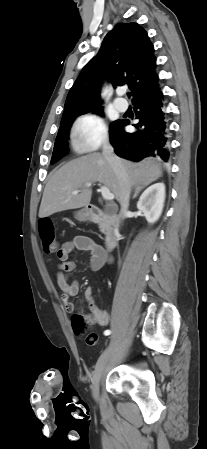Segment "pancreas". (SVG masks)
<instances>
[{"instance_id":"obj_1","label":"pancreas","mask_w":207,"mask_h":449,"mask_svg":"<svg viewBox=\"0 0 207 449\" xmlns=\"http://www.w3.org/2000/svg\"><path fill=\"white\" fill-rule=\"evenodd\" d=\"M99 228H100V232L102 233H106V231L108 230L109 226L106 222H100L99 223Z\"/></svg>"}]
</instances>
